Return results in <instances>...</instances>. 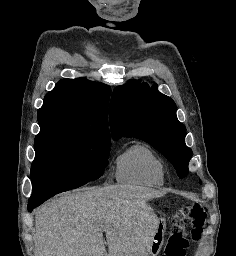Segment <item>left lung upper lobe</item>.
I'll list each match as a JSON object with an SVG mask.
<instances>
[{"mask_svg": "<svg viewBox=\"0 0 236 256\" xmlns=\"http://www.w3.org/2000/svg\"><path fill=\"white\" fill-rule=\"evenodd\" d=\"M112 137L134 136L150 143L171 161L180 178L188 173L192 151L185 144L186 128L176 117L168 96L140 81L114 89L110 106ZM201 183V181H200Z\"/></svg>", "mask_w": 236, "mask_h": 256, "instance_id": "5c2ea615", "label": "left lung upper lobe"}]
</instances>
